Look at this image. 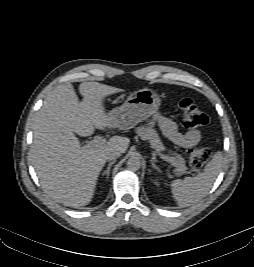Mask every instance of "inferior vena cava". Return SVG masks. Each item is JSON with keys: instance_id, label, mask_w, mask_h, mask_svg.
Here are the masks:
<instances>
[{"instance_id": "1", "label": "inferior vena cava", "mask_w": 254, "mask_h": 267, "mask_svg": "<svg viewBox=\"0 0 254 267\" xmlns=\"http://www.w3.org/2000/svg\"><path fill=\"white\" fill-rule=\"evenodd\" d=\"M120 154L121 153L119 151L113 150V151H111V152L108 153L107 160H115L118 157H120Z\"/></svg>"}]
</instances>
